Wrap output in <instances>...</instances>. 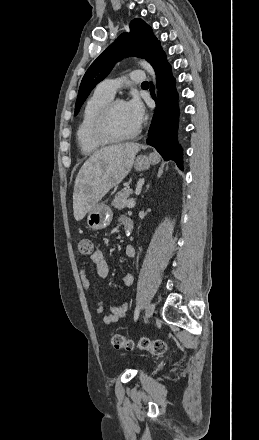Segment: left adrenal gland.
<instances>
[{
	"label": "left adrenal gland",
	"mask_w": 259,
	"mask_h": 440,
	"mask_svg": "<svg viewBox=\"0 0 259 440\" xmlns=\"http://www.w3.org/2000/svg\"><path fill=\"white\" fill-rule=\"evenodd\" d=\"M146 188H147V189H146V191H147V190L149 189V184L146 186Z\"/></svg>",
	"instance_id": "left-adrenal-gland-1"
}]
</instances>
